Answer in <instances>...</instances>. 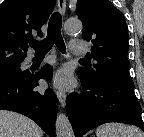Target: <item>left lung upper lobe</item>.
Returning <instances> with one entry per match:
<instances>
[{"instance_id":"left-lung-upper-lobe-1","label":"left lung upper lobe","mask_w":144,"mask_h":137,"mask_svg":"<svg viewBox=\"0 0 144 137\" xmlns=\"http://www.w3.org/2000/svg\"><path fill=\"white\" fill-rule=\"evenodd\" d=\"M76 14L83 23L82 38L93 44L89 57L96 61L92 68L80 67L79 78L86 82L112 78L133 83L124 15L109 0H77Z\"/></svg>"}]
</instances>
